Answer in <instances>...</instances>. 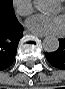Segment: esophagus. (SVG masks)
<instances>
[{
  "label": "esophagus",
  "instance_id": "1",
  "mask_svg": "<svg viewBox=\"0 0 65 89\" xmlns=\"http://www.w3.org/2000/svg\"><path fill=\"white\" fill-rule=\"evenodd\" d=\"M35 36H38V37H40V38H43V37H45V35H41V34H35V33H33Z\"/></svg>",
  "mask_w": 65,
  "mask_h": 89
}]
</instances>
